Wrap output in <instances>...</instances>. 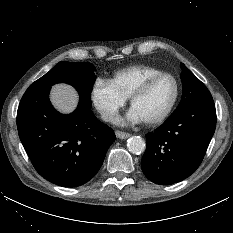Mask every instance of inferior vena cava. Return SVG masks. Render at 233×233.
Wrapping results in <instances>:
<instances>
[{
    "mask_svg": "<svg viewBox=\"0 0 233 233\" xmlns=\"http://www.w3.org/2000/svg\"><path fill=\"white\" fill-rule=\"evenodd\" d=\"M101 118L104 121H109L112 123H117L119 121V118L114 113H111V112H103L101 114Z\"/></svg>",
    "mask_w": 233,
    "mask_h": 233,
    "instance_id": "602c4592",
    "label": "inferior vena cava"
}]
</instances>
